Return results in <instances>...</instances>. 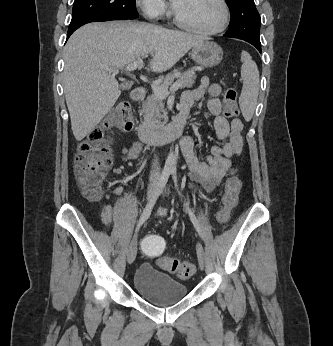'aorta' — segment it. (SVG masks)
I'll list each match as a JSON object with an SVG mask.
<instances>
[{
	"label": "aorta",
	"mask_w": 333,
	"mask_h": 346,
	"mask_svg": "<svg viewBox=\"0 0 333 346\" xmlns=\"http://www.w3.org/2000/svg\"><path fill=\"white\" fill-rule=\"evenodd\" d=\"M166 168L175 169L176 168V158L173 152H170L165 163Z\"/></svg>",
	"instance_id": "762f6f07"
}]
</instances>
